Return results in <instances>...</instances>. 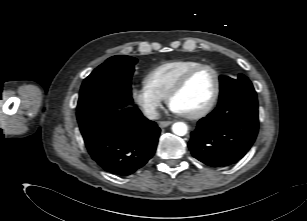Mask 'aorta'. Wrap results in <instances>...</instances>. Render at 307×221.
Returning a JSON list of instances; mask_svg holds the SVG:
<instances>
[{"instance_id":"obj_1","label":"aorta","mask_w":307,"mask_h":221,"mask_svg":"<svg viewBox=\"0 0 307 221\" xmlns=\"http://www.w3.org/2000/svg\"><path fill=\"white\" fill-rule=\"evenodd\" d=\"M172 131L178 136H184L187 134L188 127L183 122H176L172 125Z\"/></svg>"}]
</instances>
